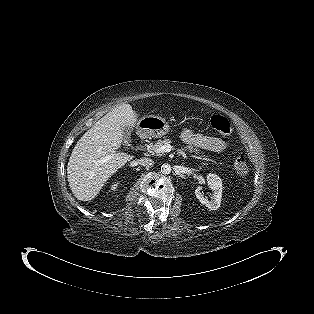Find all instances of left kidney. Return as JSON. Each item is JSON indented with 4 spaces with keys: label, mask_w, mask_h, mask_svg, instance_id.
<instances>
[{
    "label": "left kidney",
    "mask_w": 314,
    "mask_h": 314,
    "mask_svg": "<svg viewBox=\"0 0 314 314\" xmlns=\"http://www.w3.org/2000/svg\"><path fill=\"white\" fill-rule=\"evenodd\" d=\"M207 183L212 189L211 200L205 197L202 187L198 186L195 190V195L199 201L210 210H217L220 207L222 199V180L216 174L207 175Z\"/></svg>",
    "instance_id": "left-kidney-1"
}]
</instances>
